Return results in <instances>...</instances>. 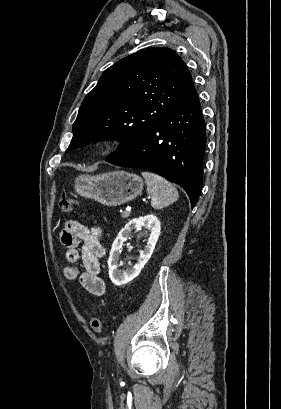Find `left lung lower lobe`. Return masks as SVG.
<instances>
[{"mask_svg": "<svg viewBox=\"0 0 281 409\" xmlns=\"http://www.w3.org/2000/svg\"><path fill=\"white\" fill-rule=\"evenodd\" d=\"M206 127L195 87L140 140L109 163L137 167L180 184L193 208L201 193Z\"/></svg>", "mask_w": 281, "mask_h": 409, "instance_id": "obj_1", "label": "left lung lower lobe"}]
</instances>
